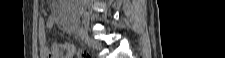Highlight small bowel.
Wrapping results in <instances>:
<instances>
[{"label":"small bowel","mask_w":225,"mask_h":58,"mask_svg":"<svg viewBox=\"0 0 225 58\" xmlns=\"http://www.w3.org/2000/svg\"><path fill=\"white\" fill-rule=\"evenodd\" d=\"M56 5V2H52V6ZM54 24V16L48 17L45 21L47 28H52ZM42 54L44 58H74L75 46L67 42H54L51 46L45 45Z\"/></svg>","instance_id":"c3829d8e"}]
</instances>
